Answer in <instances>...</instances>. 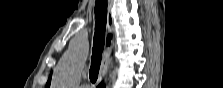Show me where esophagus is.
Wrapping results in <instances>:
<instances>
[{
	"label": "esophagus",
	"mask_w": 223,
	"mask_h": 88,
	"mask_svg": "<svg viewBox=\"0 0 223 88\" xmlns=\"http://www.w3.org/2000/svg\"><path fill=\"white\" fill-rule=\"evenodd\" d=\"M107 29L110 34L114 32V16H113V0H108V8H107ZM112 52V47H108L102 58V63L99 71L98 81L101 82L106 74L107 67L110 61V55Z\"/></svg>",
	"instance_id": "esophagus-1"
}]
</instances>
